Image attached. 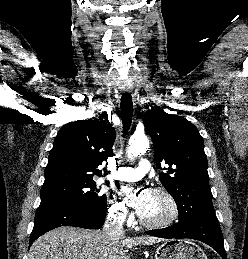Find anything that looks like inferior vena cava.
<instances>
[{
    "label": "inferior vena cava",
    "mask_w": 248,
    "mask_h": 259,
    "mask_svg": "<svg viewBox=\"0 0 248 259\" xmlns=\"http://www.w3.org/2000/svg\"><path fill=\"white\" fill-rule=\"evenodd\" d=\"M124 217L122 215L111 214L105 222L103 232L111 238L122 237L125 234L123 229Z\"/></svg>",
    "instance_id": "obj_1"
}]
</instances>
